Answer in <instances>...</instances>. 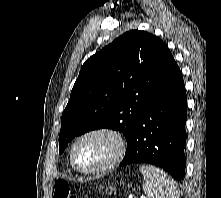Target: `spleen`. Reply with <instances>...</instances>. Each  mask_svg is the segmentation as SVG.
I'll return each instance as SVG.
<instances>
[{"mask_svg":"<svg viewBox=\"0 0 221 198\" xmlns=\"http://www.w3.org/2000/svg\"><path fill=\"white\" fill-rule=\"evenodd\" d=\"M147 198H179L175 181L162 169L150 165L139 167Z\"/></svg>","mask_w":221,"mask_h":198,"instance_id":"1","label":"spleen"}]
</instances>
